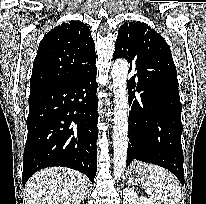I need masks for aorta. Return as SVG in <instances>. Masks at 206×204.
<instances>
[{
  "mask_svg": "<svg viewBox=\"0 0 206 204\" xmlns=\"http://www.w3.org/2000/svg\"><path fill=\"white\" fill-rule=\"evenodd\" d=\"M128 62L117 59L113 63L112 78L114 92L113 125V175L119 179L125 169L128 149V97L126 92Z\"/></svg>",
  "mask_w": 206,
  "mask_h": 204,
  "instance_id": "obj_1",
  "label": "aorta"
}]
</instances>
